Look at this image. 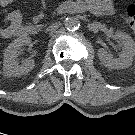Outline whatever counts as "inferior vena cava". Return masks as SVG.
Returning <instances> with one entry per match:
<instances>
[{
	"mask_svg": "<svg viewBox=\"0 0 135 135\" xmlns=\"http://www.w3.org/2000/svg\"><path fill=\"white\" fill-rule=\"evenodd\" d=\"M55 27V25L53 24V25H51V26H49L48 28H46V32H49V31H51L53 28Z\"/></svg>",
	"mask_w": 135,
	"mask_h": 135,
	"instance_id": "1",
	"label": "inferior vena cava"
}]
</instances>
